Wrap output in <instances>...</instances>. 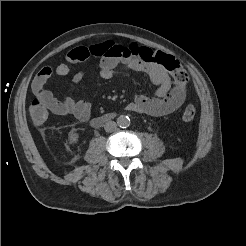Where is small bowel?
<instances>
[{"mask_svg": "<svg viewBox=\"0 0 246 246\" xmlns=\"http://www.w3.org/2000/svg\"><path fill=\"white\" fill-rule=\"evenodd\" d=\"M139 47L134 44L123 45L106 41L90 46H79L70 50L65 61L52 68L43 67L32 82V90L44 91V96L52 113L60 116L72 115L78 120L86 121L91 115V103L84 98H57L44 89L46 82L53 76H66L71 65L91 58L99 60V75L104 79L115 76L118 70L143 72L148 75L155 91L151 95L136 94L126 109L151 116H165L176 111L185 101L187 85L180 86L172 81L170 74L156 63L142 61L138 55ZM85 72L79 71L73 76V82L80 84Z\"/></svg>", "mask_w": 246, "mask_h": 246, "instance_id": "c3829d8e", "label": "small bowel"}]
</instances>
